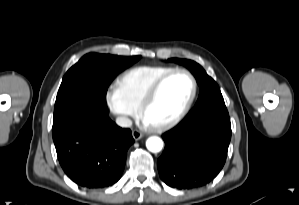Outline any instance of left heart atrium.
Segmentation results:
<instances>
[{
  "label": "left heart atrium",
  "instance_id": "1",
  "mask_svg": "<svg viewBox=\"0 0 299 205\" xmlns=\"http://www.w3.org/2000/svg\"><path fill=\"white\" fill-rule=\"evenodd\" d=\"M145 123H146V124H149L146 120H145Z\"/></svg>",
  "mask_w": 299,
  "mask_h": 205
}]
</instances>
